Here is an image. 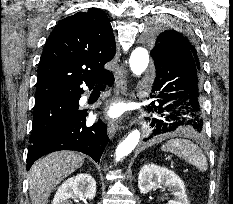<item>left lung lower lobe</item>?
<instances>
[{"instance_id":"left-lung-lower-lobe-1","label":"left lung lower lobe","mask_w":233,"mask_h":204,"mask_svg":"<svg viewBox=\"0 0 233 204\" xmlns=\"http://www.w3.org/2000/svg\"><path fill=\"white\" fill-rule=\"evenodd\" d=\"M155 79L152 92L158 105L149 118L151 135L174 132H201L203 129L201 77L187 53L163 48L155 56ZM155 103V101L153 102Z\"/></svg>"}]
</instances>
